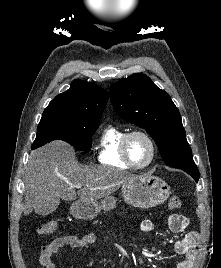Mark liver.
<instances>
[{
	"instance_id": "liver-1",
	"label": "liver",
	"mask_w": 221,
	"mask_h": 268,
	"mask_svg": "<svg viewBox=\"0 0 221 268\" xmlns=\"http://www.w3.org/2000/svg\"><path fill=\"white\" fill-rule=\"evenodd\" d=\"M134 176L107 166H79L72 147L53 141L30 154L26 167L24 215L33 210L46 215L53 205L64 201H98L114 193ZM81 184L76 192L74 185Z\"/></svg>"
}]
</instances>
